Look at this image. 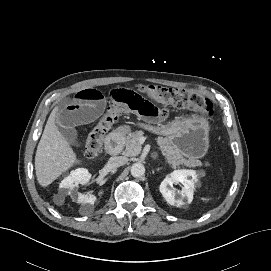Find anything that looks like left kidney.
<instances>
[{
	"label": "left kidney",
	"mask_w": 271,
	"mask_h": 271,
	"mask_svg": "<svg viewBox=\"0 0 271 271\" xmlns=\"http://www.w3.org/2000/svg\"><path fill=\"white\" fill-rule=\"evenodd\" d=\"M197 177L198 175L194 170H175L165 177L159 190L168 204L180 207L185 201L192 200L195 183L198 181ZM178 183L183 185L180 193H177L176 189L173 188V184Z\"/></svg>",
	"instance_id": "obj_1"
}]
</instances>
